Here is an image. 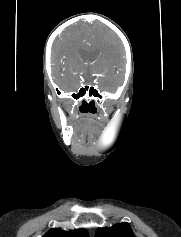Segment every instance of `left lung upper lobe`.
Listing matches in <instances>:
<instances>
[{
  "label": "left lung upper lobe",
  "instance_id": "1",
  "mask_svg": "<svg viewBox=\"0 0 181 237\" xmlns=\"http://www.w3.org/2000/svg\"><path fill=\"white\" fill-rule=\"evenodd\" d=\"M95 237H136L129 223H118L112 227L98 228Z\"/></svg>",
  "mask_w": 181,
  "mask_h": 237
}]
</instances>
